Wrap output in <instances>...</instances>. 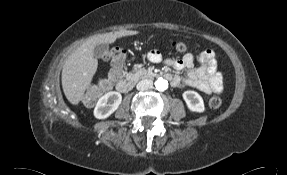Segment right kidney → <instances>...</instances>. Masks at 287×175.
Listing matches in <instances>:
<instances>
[{"instance_id":"obj_1","label":"right kidney","mask_w":287,"mask_h":175,"mask_svg":"<svg viewBox=\"0 0 287 175\" xmlns=\"http://www.w3.org/2000/svg\"><path fill=\"white\" fill-rule=\"evenodd\" d=\"M122 96L117 92H109L102 96L94 109V116L97 119H105L115 112L121 104Z\"/></svg>"}]
</instances>
